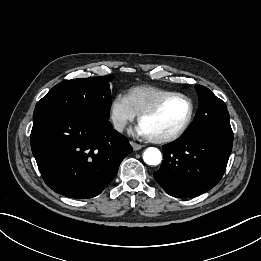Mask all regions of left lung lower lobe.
Masks as SVG:
<instances>
[{
  "label": "left lung lower lobe",
  "instance_id": "0a47b994",
  "mask_svg": "<svg viewBox=\"0 0 261 261\" xmlns=\"http://www.w3.org/2000/svg\"><path fill=\"white\" fill-rule=\"evenodd\" d=\"M232 145V129L181 136L162 148L164 161L154 178L173 197L200 195L221 180Z\"/></svg>",
  "mask_w": 261,
  "mask_h": 261
}]
</instances>
